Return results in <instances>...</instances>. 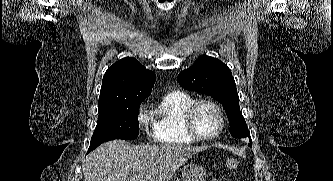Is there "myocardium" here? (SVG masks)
Instances as JSON below:
<instances>
[{"label": "myocardium", "instance_id": "obj_1", "mask_svg": "<svg viewBox=\"0 0 333 181\" xmlns=\"http://www.w3.org/2000/svg\"><path fill=\"white\" fill-rule=\"evenodd\" d=\"M202 105H208L212 107L218 114L220 120L219 129L217 133L212 136H203L196 128L195 116L199 107ZM184 123H185V128L190 136L200 141H211L218 138L222 134L225 127V117L221 107L215 101L211 99H199V100H194L186 109L184 114Z\"/></svg>", "mask_w": 333, "mask_h": 181}]
</instances>
